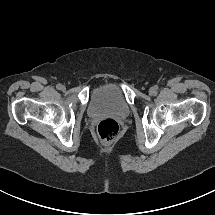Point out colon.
Masks as SVG:
<instances>
[{
	"mask_svg": "<svg viewBox=\"0 0 215 215\" xmlns=\"http://www.w3.org/2000/svg\"><path fill=\"white\" fill-rule=\"evenodd\" d=\"M119 131V124L114 119L102 120L97 126V134L104 144L114 141L118 136Z\"/></svg>",
	"mask_w": 215,
	"mask_h": 215,
	"instance_id": "1",
	"label": "colon"
}]
</instances>
